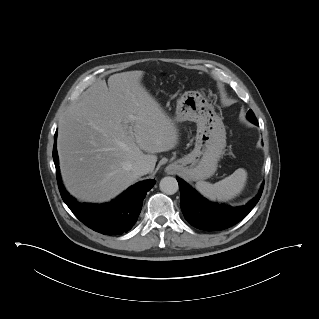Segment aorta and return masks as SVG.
<instances>
[{"label": "aorta", "instance_id": "obj_1", "mask_svg": "<svg viewBox=\"0 0 319 319\" xmlns=\"http://www.w3.org/2000/svg\"><path fill=\"white\" fill-rule=\"evenodd\" d=\"M160 190L167 194L173 195L178 191V182L174 177H164L159 184Z\"/></svg>", "mask_w": 319, "mask_h": 319}]
</instances>
